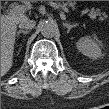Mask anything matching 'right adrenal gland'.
<instances>
[{
	"label": "right adrenal gland",
	"mask_w": 109,
	"mask_h": 109,
	"mask_svg": "<svg viewBox=\"0 0 109 109\" xmlns=\"http://www.w3.org/2000/svg\"><path fill=\"white\" fill-rule=\"evenodd\" d=\"M29 33V31L28 30H19L18 32H17V36H19L20 34H28ZM22 46V45H21ZM20 49H21V47H20Z\"/></svg>",
	"instance_id": "1"
}]
</instances>
